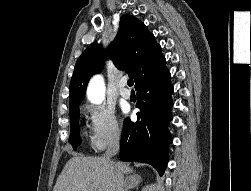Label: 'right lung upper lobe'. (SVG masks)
<instances>
[{
    "instance_id": "right-lung-upper-lobe-1",
    "label": "right lung upper lobe",
    "mask_w": 251,
    "mask_h": 191,
    "mask_svg": "<svg viewBox=\"0 0 251 191\" xmlns=\"http://www.w3.org/2000/svg\"><path fill=\"white\" fill-rule=\"evenodd\" d=\"M106 55L118 69L134 78L136 89L168 73L166 60L154 35L134 16L123 15L118 34L107 50H102L95 42L78 58L70 83L69 107L82 102L89 79L101 71Z\"/></svg>"
}]
</instances>
